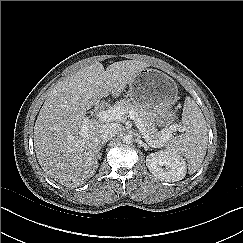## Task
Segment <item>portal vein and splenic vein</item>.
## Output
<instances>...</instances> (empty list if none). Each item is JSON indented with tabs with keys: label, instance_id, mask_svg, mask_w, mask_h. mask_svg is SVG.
<instances>
[{
	"label": "portal vein and splenic vein",
	"instance_id": "obj_1",
	"mask_svg": "<svg viewBox=\"0 0 243 243\" xmlns=\"http://www.w3.org/2000/svg\"><path fill=\"white\" fill-rule=\"evenodd\" d=\"M125 114H126V112H125V110L123 108H121V107H114L113 109L99 111L96 114V118L100 119V120H103V121H108V122L109 121H117V120L124 119V116H126ZM128 117L136 123V126L139 129V131L141 132V134L143 135V138L147 142L152 144V146L161 145L164 142H166L167 140H169V138L171 136L170 133L164 134L162 136V139H161L160 143H155L153 141L148 140V135L145 132V129H144V126H143V123H142L141 119L138 118V116H137V112L134 109L129 110ZM86 130H87V127H86V125H84L83 128H82V131L85 132Z\"/></svg>",
	"mask_w": 243,
	"mask_h": 243
}]
</instances>
